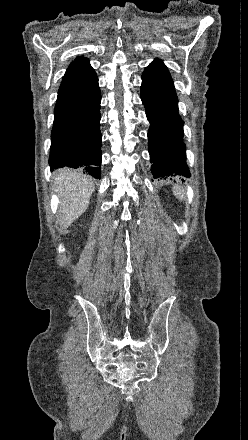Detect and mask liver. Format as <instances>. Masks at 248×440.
Masks as SVG:
<instances>
[{"mask_svg": "<svg viewBox=\"0 0 248 440\" xmlns=\"http://www.w3.org/2000/svg\"><path fill=\"white\" fill-rule=\"evenodd\" d=\"M54 184L61 198L59 224L65 230L86 211L95 186L91 177L68 168L59 170Z\"/></svg>", "mask_w": 248, "mask_h": 440, "instance_id": "1", "label": "liver"}]
</instances>
